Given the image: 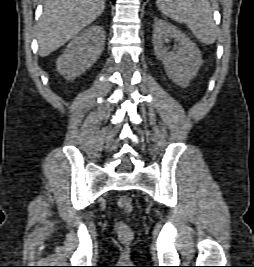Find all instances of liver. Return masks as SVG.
Returning a JSON list of instances; mask_svg holds the SVG:
<instances>
[{"label":"liver","instance_id":"obj_1","mask_svg":"<svg viewBox=\"0 0 254 267\" xmlns=\"http://www.w3.org/2000/svg\"><path fill=\"white\" fill-rule=\"evenodd\" d=\"M37 26L39 55L48 56L96 20L105 9V0H43Z\"/></svg>","mask_w":254,"mask_h":267}]
</instances>
